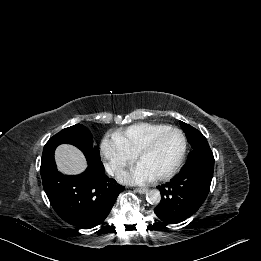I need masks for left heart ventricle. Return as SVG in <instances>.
<instances>
[{
	"label": "left heart ventricle",
	"mask_w": 261,
	"mask_h": 261,
	"mask_svg": "<svg viewBox=\"0 0 261 261\" xmlns=\"http://www.w3.org/2000/svg\"><path fill=\"white\" fill-rule=\"evenodd\" d=\"M181 147V137L175 132H168L157 141L151 152L140 159L139 163L154 176L161 175L176 163Z\"/></svg>",
	"instance_id": "b2bd125f"
}]
</instances>
